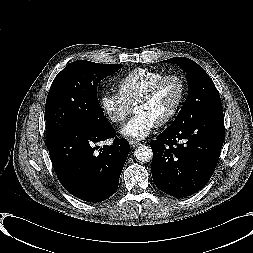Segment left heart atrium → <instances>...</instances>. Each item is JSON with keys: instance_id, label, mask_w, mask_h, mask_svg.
I'll use <instances>...</instances> for the list:
<instances>
[{"instance_id": "left-heart-atrium-1", "label": "left heart atrium", "mask_w": 253, "mask_h": 253, "mask_svg": "<svg viewBox=\"0 0 253 253\" xmlns=\"http://www.w3.org/2000/svg\"><path fill=\"white\" fill-rule=\"evenodd\" d=\"M157 125V122L143 113H136L123 127L121 133L128 138L143 139L147 137Z\"/></svg>"}]
</instances>
